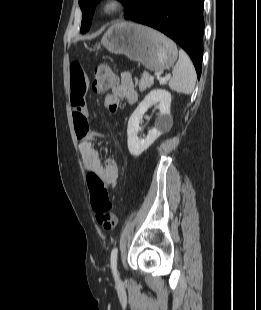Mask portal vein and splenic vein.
Returning a JSON list of instances; mask_svg holds the SVG:
<instances>
[{
	"label": "portal vein and splenic vein",
	"instance_id": "portal-vein-and-splenic-vein-1",
	"mask_svg": "<svg viewBox=\"0 0 261 310\" xmlns=\"http://www.w3.org/2000/svg\"><path fill=\"white\" fill-rule=\"evenodd\" d=\"M155 76H156L157 78H160L159 74H155ZM168 78H169V76L166 77V79H168Z\"/></svg>",
	"mask_w": 261,
	"mask_h": 310
}]
</instances>
